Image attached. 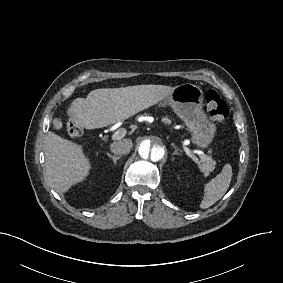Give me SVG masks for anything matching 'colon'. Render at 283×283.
<instances>
[{
  "instance_id": "colon-1",
  "label": "colon",
  "mask_w": 283,
  "mask_h": 283,
  "mask_svg": "<svg viewBox=\"0 0 283 283\" xmlns=\"http://www.w3.org/2000/svg\"><path fill=\"white\" fill-rule=\"evenodd\" d=\"M206 106L209 117L213 122L218 125H223L226 123L229 116V110L217 92H207ZM66 130L71 137H78L83 133L82 127L78 125L70 115L66 120Z\"/></svg>"
}]
</instances>
